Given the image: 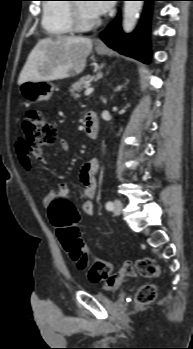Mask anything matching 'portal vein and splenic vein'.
Here are the masks:
<instances>
[{"mask_svg": "<svg viewBox=\"0 0 193 349\" xmlns=\"http://www.w3.org/2000/svg\"><path fill=\"white\" fill-rule=\"evenodd\" d=\"M94 91V88L93 87H89L85 90V95L88 96L90 95L91 93H93Z\"/></svg>", "mask_w": 193, "mask_h": 349, "instance_id": "1", "label": "portal vein and splenic vein"}]
</instances>
